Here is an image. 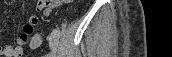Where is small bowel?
I'll return each mask as SVG.
<instances>
[{"instance_id": "small-bowel-1", "label": "small bowel", "mask_w": 172, "mask_h": 57, "mask_svg": "<svg viewBox=\"0 0 172 57\" xmlns=\"http://www.w3.org/2000/svg\"><path fill=\"white\" fill-rule=\"evenodd\" d=\"M67 1L60 0H39L36 3V10L43 11L44 16H48L53 8L60 6ZM38 23L36 16H31L26 24H24L22 33L16 39V45L0 46V56L20 57L23 53V47L29 45L31 49H36L42 44V36L38 33L34 34L35 26ZM5 24V21L3 22Z\"/></svg>"}]
</instances>
